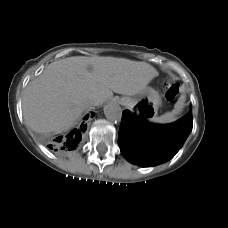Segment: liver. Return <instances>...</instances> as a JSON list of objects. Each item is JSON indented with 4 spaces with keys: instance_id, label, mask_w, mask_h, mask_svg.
Here are the masks:
<instances>
[{
    "instance_id": "1",
    "label": "liver",
    "mask_w": 228,
    "mask_h": 228,
    "mask_svg": "<svg viewBox=\"0 0 228 228\" xmlns=\"http://www.w3.org/2000/svg\"><path fill=\"white\" fill-rule=\"evenodd\" d=\"M157 75L150 64L124 58L74 56L55 61L25 90V124L37 133L66 129L86 109L85 101L99 106L113 92L135 96Z\"/></svg>"
}]
</instances>
